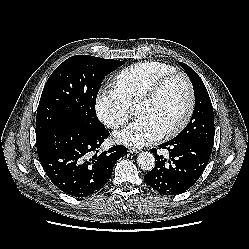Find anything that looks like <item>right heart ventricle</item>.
I'll return each instance as SVG.
<instances>
[{"label": "right heart ventricle", "instance_id": "obj_1", "mask_svg": "<svg viewBox=\"0 0 249 249\" xmlns=\"http://www.w3.org/2000/svg\"><path fill=\"white\" fill-rule=\"evenodd\" d=\"M175 71V67L159 61H143L121 70L112 80L114 90L130 106L137 103L159 77Z\"/></svg>", "mask_w": 249, "mask_h": 249}]
</instances>
